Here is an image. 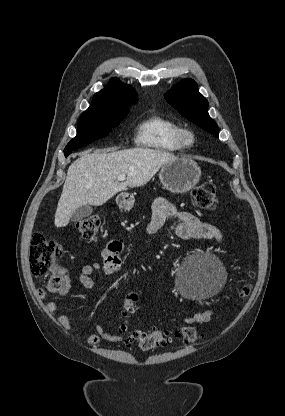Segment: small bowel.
Masks as SVG:
<instances>
[{"label":"small bowel","instance_id":"1","mask_svg":"<svg viewBox=\"0 0 285 416\" xmlns=\"http://www.w3.org/2000/svg\"><path fill=\"white\" fill-rule=\"evenodd\" d=\"M168 218H174L179 221V223L175 226L174 232L180 239L213 240L218 243L223 241L222 232L216 226L201 221L189 212L179 211L175 206L163 198H157L154 201L152 217L147 226L148 232L154 233L159 230ZM123 249L124 245L121 241L115 239L110 240L101 251V262H94L82 266L81 273L78 278L79 283L85 289L93 290L95 286L93 276L95 274L102 273L110 276L119 272L122 268L120 256ZM70 288V281L66 279L64 286L58 291V295L60 297L66 296L69 293ZM38 295L40 298H43L45 296V291L43 289H39ZM46 309L52 316L56 317L58 324L64 330H71L69 318L65 315H59V306L57 303H48L46 305ZM211 316L212 310L207 309L185 317L184 323L189 325H203L210 321ZM78 337L84 339V341L91 345H96L101 340L110 342L123 340L121 335L109 333L102 325H97L94 332L82 334Z\"/></svg>","mask_w":285,"mask_h":416}]
</instances>
